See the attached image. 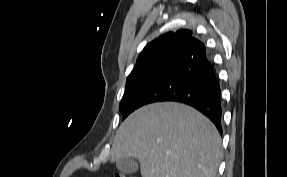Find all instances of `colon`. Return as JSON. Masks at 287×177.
Instances as JSON below:
<instances>
[{
	"label": "colon",
	"instance_id": "obj_1",
	"mask_svg": "<svg viewBox=\"0 0 287 177\" xmlns=\"http://www.w3.org/2000/svg\"><path fill=\"white\" fill-rule=\"evenodd\" d=\"M114 177H126L124 174L117 173Z\"/></svg>",
	"mask_w": 287,
	"mask_h": 177
}]
</instances>
